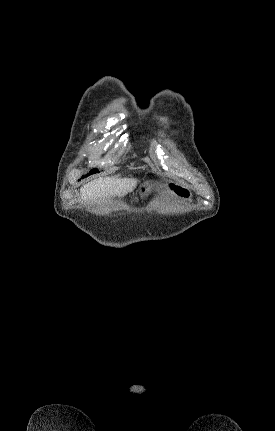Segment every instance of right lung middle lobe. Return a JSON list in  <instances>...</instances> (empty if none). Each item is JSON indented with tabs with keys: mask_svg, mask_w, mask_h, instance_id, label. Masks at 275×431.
Wrapping results in <instances>:
<instances>
[{
	"mask_svg": "<svg viewBox=\"0 0 275 431\" xmlns=\"http://www.w3.org/2000/svg\"><path fill=\"white\" fill-rule=\"evenodd\" d=\"M97 172H99L97 169H93V170H91V171L89 172V174H87V176H88V175H91V174H94V173H97Z\"/></svg>",
	"mask_w": 275,
	"mask_h": 431,
	"instance_id": "1",
	"label": "right lung middle lobe"
}]
</instances>
